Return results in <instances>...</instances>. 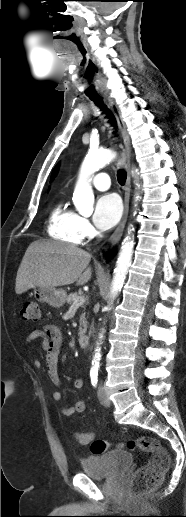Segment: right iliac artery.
Instances as JSON below:
<instances>
[{"mask_svg":"<svg viewBox=\"0 0 186 517\" xmlns=\"http://www.w3.org/2000/svg\"><path fill=\"white\" fill-rule=\"evenodd\" d=\"M90 377H91L92 385L96 386L97 382H98V371H95V370L90 371Z\"/></svg>","mask_w":186,"mask_h":517,"instance_id":"right-iliac-artery-1","label":"right iliac artery"}]
</instances>
